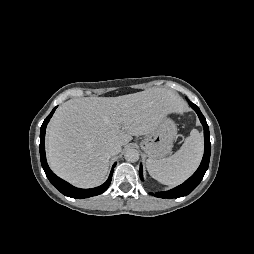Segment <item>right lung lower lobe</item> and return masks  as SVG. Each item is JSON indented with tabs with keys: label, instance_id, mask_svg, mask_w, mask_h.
<instances>
[{
	"label": "right lung lower lobe",
	"instance_id": "98d812e1",
	"mask_svg": "<svg viewBox=\"0 0 254 254\" xmlns=\"http://www.w3.org/2000/svg\"><path fill=\"white\" fill-rule=\"evenodd\" d=\"M57 107H55L52 112L48 115V117L44 120L42 126H41V132H40V159H41V164L42 167L45 171V174L47 176V178L49 179V181L52 183V185L57 188L63 195L68 196V197H72V198H78V199H82V198H87V197H91V196H96L98 194H101L103 192H105L110 183H111V179H112V174H113V169L116 165V163L113 165L111 173L109 175L108 180L102 184L99 187L96 188H92V189H80V188H76L72 185H70L69 183H67L66 181L60 179L59 177H57L49 168L47 161H46V156H45V145H44V140H45V130H46V125L49 122L50 118L52 117L53 113L55 112V109Z\"/></svg>",
	"mask_w": 254,
	"mask_h": 254
}]
</instances>
